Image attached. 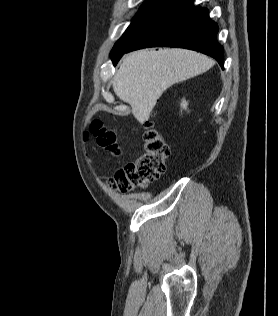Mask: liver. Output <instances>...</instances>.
Wrapping results in <instances>:
<instances>
[{
	"label": "liver",
	"mask_w": 278,
	"mask_h": 316,
	"mask_svg": "<svg viewBox=\"0 0 278 316\" xmlns=\"http://www.w3.org/2000/svg\"><path fill=\"white\" fill-rule=\"evenodd\" d=\"M214 61L194 51L165 48L140 50L126 55L113 79L117 97L132 107L144 123L162 93L175 83L208 71Z\"/></svg>",
	"instance_id": "6515ba94"
}]
</instances>
